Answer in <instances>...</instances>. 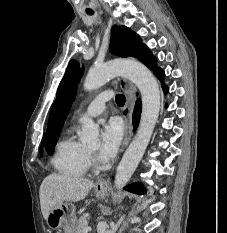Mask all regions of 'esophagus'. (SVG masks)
<instances>
[{"mask_svg": "<svg viewBox=\"0 0 227 233\" xmlns=\"http://www.w3.org/2000/svg\"><path fill=\"white\" fill-rule=\"evenodd\" d=\"M120 86L122 90L126 94V103L125 106L122 109V116L125 123V130H124V139L122 143V149L123 151L129 144L132 136H133V124H132V113L133 108L136 100V88L128 82L125 78L119 79ZM108 184V180L102 178L99 179L97 182V186H104Z\"/></svg>", "mask_w": 227, "mask_h": 233, "instance_id": "1", "label": "esophagus"}]
</instances>
